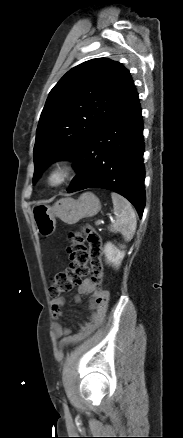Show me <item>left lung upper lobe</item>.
<instances>
[{"instance_id": "1", "label": "left lung upper lobe", "mask_w": 183, "mask_h": 438, "mask_svg": "<svg viewBox=\"0 0 183 438\" xmlns=\"http://www.w3.org/2000/svg\"><path fill=\"white\" fill-rule=\"evenodd\" d=\"M133 88L129 71L107 58L89 60L68 71L51 90L40 116L33 182L57 159L73 160Z\"/></svg>"}]
</instances>
